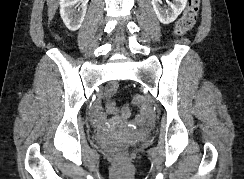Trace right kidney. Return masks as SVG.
Here are the masks:
<instances>
[{"label":"right kidney","instance_id":"ca27d5eb","mask_svg":"<svg viewBox=\"0 0 244 179\" xmlns=\"http://www.w3.org/2000/svg\"><path fill=\"white\" fill-rule=\"evenodd\" d=\"M88 0H60L61 18L68 30L76 32L85 18ZM76 4H81L76 12Z\"/></svg>","mask_w":244,"mask_h":179}]
</instances>
